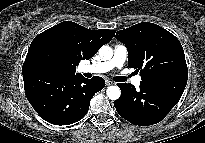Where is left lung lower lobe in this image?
Listing matches in <instances>:
<instances>
[{
    "instance_id": "0a47b994",
    "label": "left lung lower lobe",
    "mask_w": 205,
    "mask_h": 143,
    "mask_svg": "<svg viewBox=\"0 0 205 143\" xmlns=\"http://www.w3.org/2000/svg\"><path fill=\"white\" fill-rule=\"evenodd\" d=\"M188 75L169 74L143 79L140 89L119 83L121 97L114 102L119 115L134 125L160 122L180 100Z\"/></svg>"
}]
</instances>
